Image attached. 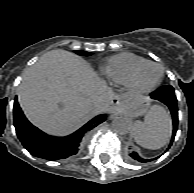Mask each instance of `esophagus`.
Instances as JSON below:
<instances>
[{
  "label": "esophagus",
  "mask_w": 194,
  "mask_h": 193,
  "mask_svg": "<svg viewBox=\"0 0 194 193\" xmlns=\"http://www.w3.org/2000/svg\"><path fill=\"white\" fill-rule=\"evenodd\" d=\"M118 103H119V99H118V98H114V99L112 100V105H113V106L117 105Z\"/></svg>",
  "instance_id": "1"
}]
</instances>
